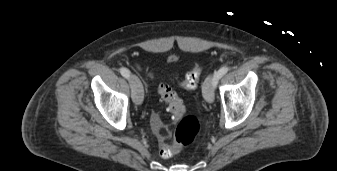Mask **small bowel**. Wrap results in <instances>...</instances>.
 Listing matches in <instances>:
<instances>
[{"label":"small bowel","mask_w":337,"mask_h":171,"mask_svg":"<svg viewBox=\"0 0 337 171\" xmlns=\"http://www.w3.org/2000/svg\"><path fill=\"white\" fill-rule=\"evenodd\" d=\"M149 77H152V73L149 74Z\"/></svg>","instance_id":"small-bowel-1"}]
</instances>
